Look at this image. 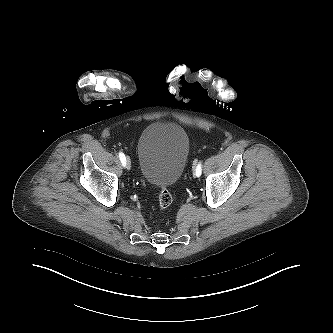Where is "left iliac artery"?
<instances>
[{
  "instance_id": "1",
  "label": "left iliac artery",
  "mask_w": 333,
  "mask_h": 333,
  "mask_svg": "<svg viewBox=\"0 0 333 333\" xmlns=\"http://www.w3.org/2000/svg\"><path fill=\"white\" fill-rule=\"evenodd\" d=\"M196 162H194V165H195ZM201 172H202V164L201 162H199L196 166V170H195V175L197 177H199L201 175Z\"/></svg>"
}]
</instances>
